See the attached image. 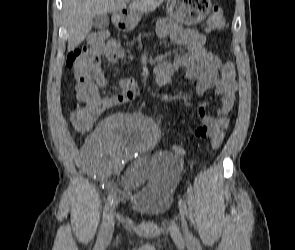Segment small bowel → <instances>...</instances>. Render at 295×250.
Returning a JSON list of instances; mask_svg holds the SVG:
<instances>
[{"mask_svg": "<svg viewBox=\"0 0 295 250\" xmlns=\"http://www.w3.org/2000/svg\"><path fill=\"white\" fill-rule=\"evenodd\" d=\"M157 33L163 38L170 37L175 44L183 46L185 51L173 61H161L154 67L156 81L161 85H169L174 73L184 68L186 76L196 80L197 96L214 89L221 97V104L215 116L206 114L202 102L197 103L196 109L201 124L194 130L196 138H209L211 146L214 149L219 148L234 107L237 90L235 79L227 81L222 78V61L206 48V38L199 31L164 19L159 22ZM124 57L125 52L114 40L88 48L83 58L70 54L67 66L74 71L78 101L95 106L100 114L109 108L134 100L138 95V87L130 78L121 80L119 93L105 98L99 94V90L107 84L101 70L102 60L114 63ZM157 139V127L143 114L134 112L115 115L104 121L88 142L90 172L118 192L119 196L127 198L131 190L141 186L149 177L151 166L146 153L153 149ZM172 152L182 155L184 150L180 146H173ZM126 159H133V162L124 172L121 186L118 188L111 181V175L115 166Z\"/></svg>", "mask_w": 295, "mask_h": 250, "instance_id": "obj_1", "label": "small bowel"}]
</instances>
